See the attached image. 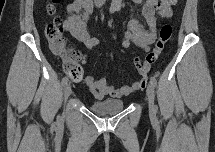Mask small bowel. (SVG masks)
I'll return each mask as SVG.
<instances>
[{"label": "small bowel", "instance_id": "1", "mask_svg": "<svg viewBox=\"0 0 215 152\" xmlns=\"http://www.w3.org/2000/svg\"><path fill=\"white\" fill-rule=\"evenodd\" d=\"M142 4V15L146 20L148 28L140 24L136 19H131L128 23V29L124 33L122 47L129 49L132 45L148 50L149 46L156 39V19L155 10L158 5L157 0H136ZM175 1L173 0V3ZM67 18L64 22V29L80 41L85 48L92 50L100 45V40L91 35L87 30V20L93 11L91 0H74L67 6ZM112 58V56H110ZM135 62H140L136 57ZM75 81L84 82L93 95L98 99H103L107 96L121 97L130 94L133 91L139 90L146 85L147 79L143 78L135 81L131 85H123L120 87L111 86L105 79H98L90 74L82 75Z\"/></svg>", "mask_w": 215, "mask_h": 152}]
</instances>
